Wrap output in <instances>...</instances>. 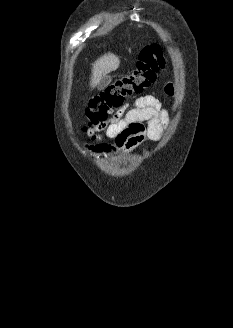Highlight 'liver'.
I'll list each match as a JSON object with an SVG mask.
<instances>
[{
    "label": "liver",
    "mask_w": 233,
    "mask_h": 328,
    "mask_svg": "<svg viewBox=\"0 0 233 328\" xmlns=\"http://www.w3.org/2000/svg\"><path fill=\"white\" fill-rule=\"evenodd\" d=\"M119 65V58L112 53L105 54L97 59L92 65L91 88H95L103 76L111 71H115Z\"/></svg>",
    "instance_id": "1"
}]
</instances>
